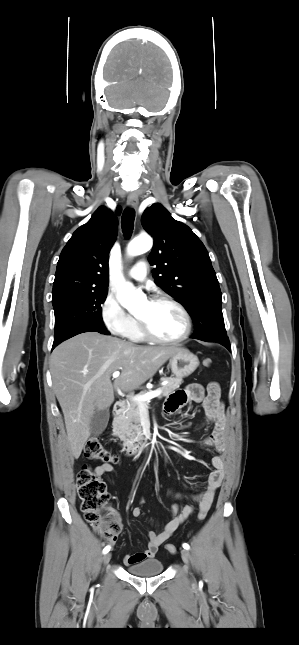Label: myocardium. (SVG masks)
<instances>
[{"label":"myocardium","instance_id":"1","mask_svg":"<svg viewBox=\"0 0 299 645\" xmlns=\"http://www.w3.org/2000/svg\"><path fill=\"white\" fill-rule=\"evenodd\" d=\"M150 302H152V303L165 302V303H168V304H171L172 306H174L181 313V315H182V317L184 319L185 327H184V331L182 332V334L180 336L176 337V338H171V339L161 338V337L156 336L151 331L148 323L144 319L136 316L140 332H141V334L143 335V337L145 339H147V340H149L151 342H154V343H159V344H178V343L183 342L184 340H186L190 336L191 331H192V319H191V316H190L188 310L179 301H177L176 299H174L171 296L161 294V295H157V296L153 297L150 300Z\"/></svg>","mask_w":299,"mask_h":645}]
</instances>
